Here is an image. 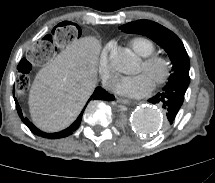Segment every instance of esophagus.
I'll list each match as a JSON object with an SVG mask.
<instances>
[{"label": "esophagus", "instance_id": "esophagus-1", "mask_svg": "<svg viewBox=\"0 0 215 183\" xmlns=\"http://www.w3.org/2000/svg\"><path fill=\"white\" fill-rule=\"evenodd\" d=\"M117 100L119 103L125 104V105H129L132 102L131 100L125 99V98H118Z\"/></svg>", "mask_w": 215, "mask_h": 183}]
</instances>
